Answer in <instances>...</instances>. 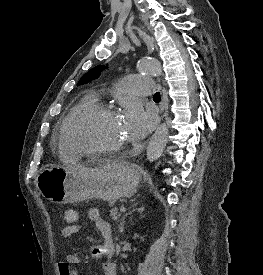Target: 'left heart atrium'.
<instances>
[{
  "label": "left heart atrium",
  "mask_w": 263,
  "mask_h": 275,
  "mask_svg": "<svg viewBox=\"0 0 263 275\" xmlns=\"http://www.w3.org/2000/svg\"><path fill=\"white\" fill-rule=\"evenodd\" d=\"M122 122L131 140L137 141L147 134L153 120L151 116L146 115L139 104L132 103L124 111Z\"/></svg>",
  "instance_id": "obj_1"
}]
</instances>
